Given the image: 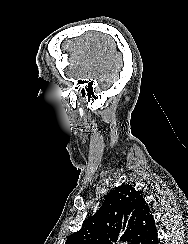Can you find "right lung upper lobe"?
Returning <instances> with one entry per match:
<instances>
[{
  "label": "right lung upper lobe",
  "mask_w": 188,
  "mask_h": 244,
  "mask_svg": "<svg viewBox=\"0 0 188 244\" xmlns=\"http://www.w3.org/2000/svg\"><path fill=\"white\" fill-rule=\"evenodd\" d=\"M154 226L142 195L130 185H121L65 244H142Z\"/></svg>",
  "instance_id": "1"
}]
</instances>
